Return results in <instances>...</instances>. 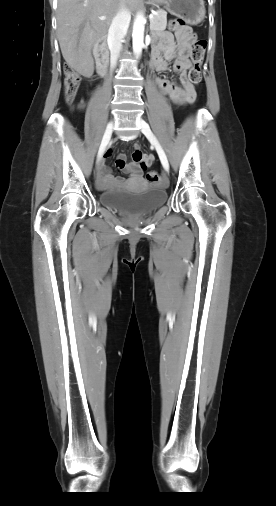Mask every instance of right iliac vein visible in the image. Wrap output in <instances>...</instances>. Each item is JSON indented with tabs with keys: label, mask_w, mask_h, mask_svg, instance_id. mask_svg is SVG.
I'll return each mask as SVG.
<instances>
[{
	"label": "right iliac vein",
	"mask_w": 276,
	"mask_h": 506,
	"mask_svg": "<svg viewBox=\"0 0 276 506\" xmlns=\"http://www.w3.org/2000/svg\"><path fill=\"white\" fill-rule=\"evenodd\" d=\"M113 128H114V122L110 121L106 127V130H105V133H104V136H103V139H102L99 151H98L97 162H100V159L104 153L105 147L111 138Z\"/></svg>",
	"instance_id": "63e3f726"
}]
</instances>
